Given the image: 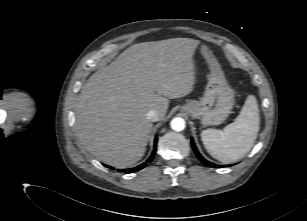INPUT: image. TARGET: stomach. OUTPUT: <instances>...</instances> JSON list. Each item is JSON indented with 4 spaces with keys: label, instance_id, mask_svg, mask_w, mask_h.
Here are the masks:
<instances>
[{
    "label": "stomach",
    "instance_id": "stomach-1",
    "mask_svg": "<svg viewBox=\"0 0 307 221\" xmlns=\"http://www.w3.org/2000/svg\"><path fill=\"white\" fill-rule=\"evenodd\" d=\"M200 52L209 68L204 95L199 101H190L182 105L180 110L192 118L199 119L204 126L219 125L231 113L235 94L210 49L206 45H201Z\"/></svg>",
    "mask_w": 307,
    "mask_h": 221
}]
</instances>
